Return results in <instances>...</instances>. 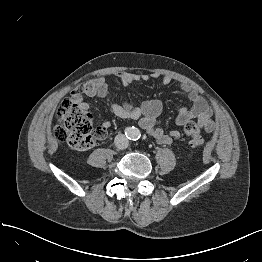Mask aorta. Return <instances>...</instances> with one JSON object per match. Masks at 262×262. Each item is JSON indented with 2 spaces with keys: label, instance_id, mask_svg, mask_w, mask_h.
Listing matches in <instances>:
<instances>
[{
  "label": "aorta",
  "instance_id": "1",
  "mask_svg": "<svg viewBox=\"0 0 262 262\" xmlns=\"http://www.w3.org/2000/svg\"><path fill=\"white\" fill-rule=\"evenodd\" d=\"M140 130L138 128H135V127H132L128 130V137L131 139V140H137L140 138Z\"/></svg>",
  "mask_w": 262,
  "mask_h": 262
}]
</instances>
